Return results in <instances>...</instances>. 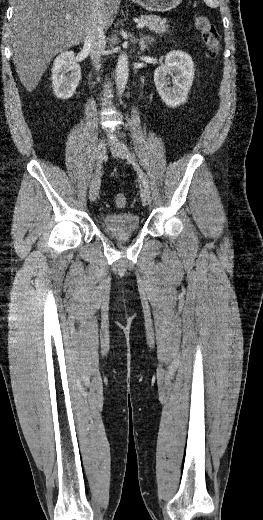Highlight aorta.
Masks as SVG:
<instances>
[{"label": "aorta", "mask_w": 263, "mask_h": 520, "mask_svg": "<svg viewBox=\"0 0 263 520\" xmlns=\"http://www.w3.org/2000/svg\"><path fill=\"white\" fill-rule=\"evenodd\" d=\"M129 75L128 57L126 53H122L118 57L116 64V88L119 95L125 91Z\"/></svg>", "instance_id": "aorta-1"}]
</instances>
